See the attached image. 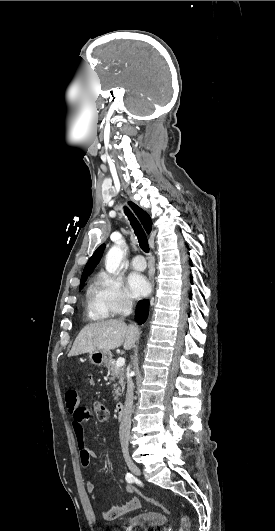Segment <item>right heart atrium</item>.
I'll list each match as a JSON object with an SVG mask.
<instances>
[{"instance_id":"right-heart-atrium-1","label":"right heart atrium","mask_w":275,"mask_h":531,"mask_svg":"<svg viewBox=\"0 0 275 531\" xmlns=\"http://www.w3.org/2000/svg\"><path fill=\"white\" fill-rule=\"evenodd\" d=\"M90 306L93 312L103 317H116L131 308L132 300L118 276L102 272L94 282Z\"/></svg>"}]
</instances>
